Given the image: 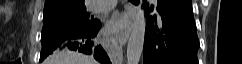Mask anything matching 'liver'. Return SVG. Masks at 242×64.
<instances>
[{
  "label": "liver",
  "instance_id": "obj_1",
  "mask_svg": "<svg viewBox=\"0 0 242 64\" xmlns=\"http://www.w3.org/2000/svg\"><path fill=\"white\" fill-rule=\"evenodd\" d=\"M44 64H98L91 56L69 50L57 51L50 55Z\"/></svg>",
  "mask_w": 242,
  "mask_h": 64
}]
</instances>
